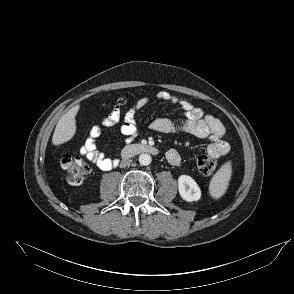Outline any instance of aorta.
<instances>
[{
    "instance_id": "obj_1",
    "label": "aorta",
    "mask_w": 294,
    "mask_h": 294,
    "mask_svg": "<svg viewBox=\"0 0 294 294\" xmlns=\"http://www.w3.org/2000/svg\"><path fill=\"white\" fill-rule=\"evenodd\" d=\"M152 158L149 154L143 153L139 156V163L143 166H147L151 163Z\"/></svg>"
}]
</instances>
